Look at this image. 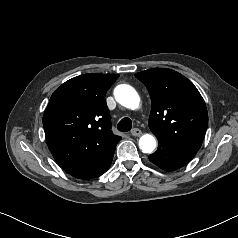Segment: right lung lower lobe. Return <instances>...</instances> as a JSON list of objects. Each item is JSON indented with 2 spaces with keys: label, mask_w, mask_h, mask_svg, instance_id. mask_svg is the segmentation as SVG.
<instances>
[{
  "label": "right lung lower lobe",
  "mask_w": 238,
  "mask_h": 238,
  "mask_svg": "<svg viewBox=\"0 0 238 238\" xmlns=\"http://www.w3.org/2000/svg\"><path fill=\"white\" fill-rule=\"evenodd\" d=\"M111 162H112V159H110V160H108L107 161V163H106V165H105V171L104 172H106L107 170H108V168L110 167V165H111Z\"/></svg>",
  "instance_id": "98d812e1"
}]
</instances>
